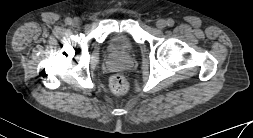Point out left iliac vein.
Masks as SVG:
<instances>
[{
  "label": "left iliac vein",
  "instance_id": "left-iliac-vein-1",
  "mask_svg": "<svg viewBox=\"0 0 253 138\" xmlns=\"http://www.w3.org/2000/svg\"><path fill=\"white\" fill-rule=\"evenodd\" d=\"M166 25H167V23H166V21L163 20V19H160V20H158V21L156 22V26H157V28L160 29V30L164 29V28L166 27Z\"/></svg>",
  "mask_w": 253,
  "mask_h": 138
}]
</instances>
